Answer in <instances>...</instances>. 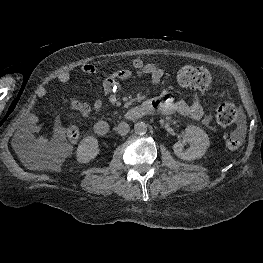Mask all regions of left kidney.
<instances>
[{
	"mask_svg": "<svg viewBox=\"0 0 263 263\" xmlns=\"http://www.w3.org/2000/svg\"><path fill=\"white\" fill-rule=\"evenodd\" d=\"M188 143L189 149L184 145ZM210 146L209 137L204 130L197 126H188L185 129L183 139L174 144L173 150L177 157L182 160L191 161L201 158Z\"/></svg>",
	"mask_w": 263,
	"mask_h": 263,
	"instance_id": "left-kidney-1",
	"label": "left kidney"
}]
</instances>
